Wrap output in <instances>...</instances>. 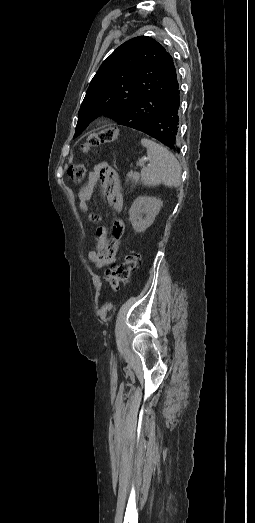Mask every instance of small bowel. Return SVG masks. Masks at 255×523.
Here are the masks:
<instances>
[{
	"label": "small bowel",
	"mask_w": 255,
	"mask_h": 523,
	"mask_svg": "<svg viewBox=\"0 0 255 523\" xmlns=\"http://www.w3.org/2000/svg\"><path fill=\"white\" fill-rule=\"evenodd\" d=\"M101 180L103 193L112 209L120 214L123 211V198L116 171L107 163L97 164L88 174L87 183L79 190V208L88 213L89 205L95 186ZM90 222L98 224L101 216L88 213ZM125 232V222L116 219L112 227V237L108 239V231L104 226L95 230V246L88 253V259L98 268L102 269L116 262L121 238Z\"/></svg>",
	"instance_id": "obj_1"
}]
</instances>
